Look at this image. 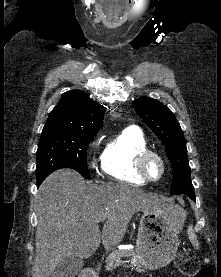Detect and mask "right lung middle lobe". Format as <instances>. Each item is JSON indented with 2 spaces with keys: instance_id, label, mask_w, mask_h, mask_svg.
Segmentation results:
<instances>
[{
  "instance_id": "obj_1",
  "label": "right lung middle lobe",
  "mask_w": 221,
  "mask_h": 277,
  "mask_svg": "<svg viewBox=\"0 0 221 277\" xmlns=\"http://www.w3.org/2000/svg\"><path fill=\"white\" fill-rule=\"evenodd\" d=\"M96 133L97 131H42L37 150V182L61 168L74 169L89 179L86 151Z\"/></svg>"
}]
</instances>
